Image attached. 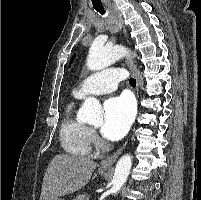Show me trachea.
Here are the masks:
<instances>
[{"label": "trachea", "instance_id": "1", "mask_svg": "<svg viewBox=\"0 0 201 200\" xmlns=\"http://www.w3.org/2000/svg\"><path fill=\"white\" fill-rule=\"evenodd\" d=\"M94 9H95L97 12H99L101 15H104V14L106 13L102 5L94 6ZM129 82H130V85H131L132 87H135V86H136V79L130 78V81H129Z\"/></svg>", "mask_w": 201, "mask_h": 200}]
</instances>
